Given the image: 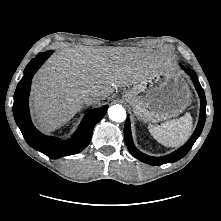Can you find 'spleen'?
<instances>
[{
	"instance_id": "spleen-1",
	"label": "spleen",
	"mask_w": 221,
	"mask_h": 221,
	"mask_svg": "<svg viewBox=\"0 0 221 221\" xmlns=\"http://www.w3.org/2000/svg\"><path fill=\"white\" fill-rule=\"evenodd\" d=\"M192 117L189 113L184 116L166 121L161 125H149L150 134L166 147H179L183 145L192 132Z\"/></svg>"
}]
</instances>
